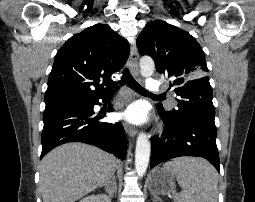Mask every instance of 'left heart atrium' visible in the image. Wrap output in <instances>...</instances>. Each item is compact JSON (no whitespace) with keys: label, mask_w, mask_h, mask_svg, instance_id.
I'll return each instance as SVG.
<instances>
[{"label":"left heart atrium","mask_w":255,"mask_h":202,"mask_svg":"<svg viewBox=\"0 0 255 202\" xmlns=\"http://www.w3.org/2000/svg\"><path fill=\"white\" fill-rule=\"evenodd\" d=\"M124 117L133 123L144 122L147 118L145 105L142 103L132 104L125 110Z\"/></svg>","instance_id":"obj_1"}]
</instances>
